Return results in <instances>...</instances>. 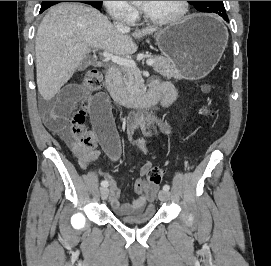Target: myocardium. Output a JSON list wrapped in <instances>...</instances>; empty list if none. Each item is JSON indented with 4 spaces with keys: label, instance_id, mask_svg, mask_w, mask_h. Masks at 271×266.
Instances as JSON below:
<instances>
[{
    "label": "myocardium",
    "instance_id": "myocardium-1",
    "mask_svg": "<svg viewBox=\"0 0 271 266\" xmlns=\"http://www.w3.org/2000/svg\"><path fill=\"white\" fill-rule=\"evenodd\" d=\"M180 5H181L180 10L172 16L154 17L143 10L142 11L143 17L148 22H151L157 25L175 24L182 21L186 17L189 11V1H180Z\"/></svg>",
    "mask_w": 271,
    "mask_h": 266
}]
</instances>
